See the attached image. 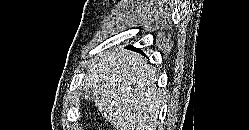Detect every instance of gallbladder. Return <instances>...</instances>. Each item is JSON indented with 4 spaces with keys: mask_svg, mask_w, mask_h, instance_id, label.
<instances>
[{
    "mask_svg": "<svg viewBox=\"0 0 249 130\" xmlns=\"http://www.w3.org/2000/svg\"><path fill=\"white\" fill-rule=\"evenodd\" d=\"M83 97H84L87 101L92 102V101L94 100V94H93L92 89L86 86V87L83 89Z\"/></svg>",
    "mask_w": 249,
    "mask_h": 130,
    "instance_id": "1",
    "label": "gallbladder"
}]
</instances>
